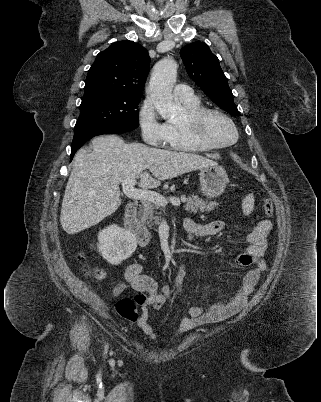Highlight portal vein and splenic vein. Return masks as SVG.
I'll use <instances>...</instances> for the list:
<instances>
[{
	"mask_svg": "<svg viewBox=\"0 0 321 402\" xmlns=\"http://www.w3.org/2000/svg\"><path fill=\"white\" fill-rule=\"evenodd\" d=\"M122 188L124 194L128 196L129 198L132 199H139V200H148L153 203H156L160 206H166L168 202L174 204V205H180V199L177 197H171L169 199L165 198L161 194L151 191V190H146V189H136L134 188L136 184L135 179H125L122 180Z\"/></svg>",
	"mask_w": 321,
	"mask_h": 402,
	"instance_id": "1",
	"label": "portal vein and splenic vein"
}]
</instances>
